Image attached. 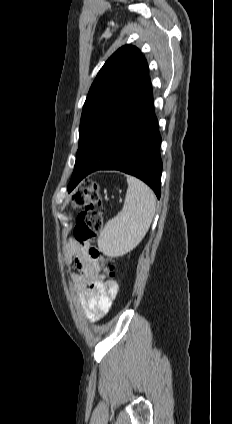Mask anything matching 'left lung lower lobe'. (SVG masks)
<instances>
[{"instance_id":"1","label":"left lung lower lobe","mask_w":232,"mask_h":424,"mask_svg":"<svg viewBox=\"0 0 232 424\" xmlns=\"http://www.w3.org/2000/svg\"><path fill=\"white\" fill-rule=\"evenodd\" d=\"M160 144L148 78L95 141L82 173L72 175L68 191L94 171L119 170L143 180L159 199L162 173Z\"/></svg>"}]
</instances>
